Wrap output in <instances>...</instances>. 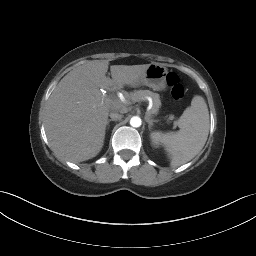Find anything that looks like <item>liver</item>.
Here are the masks:
<instances>
[{"mask_svg":"<svg viewBox=\"0 0 256 256\" xmlns=\"http://www.w3.org/2000/svg\"><path fill=\"white\" fill-rule=\"evenodd\" d=\"M149 65H112V79H108L109 62L92 61L61 79L48 99L44 119L50 147L58 159L78 163L98 155L110 110L102 102L100 88L132 84Z\"/></svg>","mask_w":256,"mask_h":256,"instance_id":"6515ba94","label":"liver"}]
</instances>
